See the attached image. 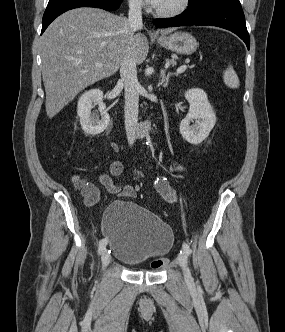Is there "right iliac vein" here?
Returning <instances> with one entry per match:
<instances>
[{
  "label": "right iliac vein",
  "mask_w": 285,
  "mask_h": 332,
  "mask_svg": "<svg viewBox=\"0 0 285 332\" xmlns=\"http://www.w3.org/2000/svg\"><path fill=\"white\" fill-rule=\"evenodd\" d=\"M110 259H111L110 255L108 254L107 249L105 248L102 251V255H101V263H102L103 269L106 268L109 265Z\"/></svg>",
  "instance_id": "63e3f726"
}]
</instances>
